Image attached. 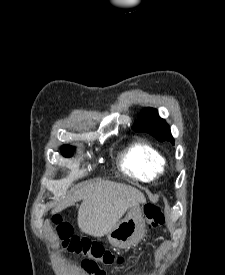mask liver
I'll return each mask as SVG.
<instances>
[{"label": "liver", "instance_id": "liver-1", "mask_svg": "<svg viewBox=\"0 0 225 275\" xmlns=\"http://www.w3.org/2000/svg\"><path fill=\"white\" fill-rule=\"evenodd\" d=\"M82 200L78 225L82 232L102 237L108 234L132 206L144 204L146 198L138 189L113 181H97L76 190L62 200L52 213H58Z\"/></svg>", "mask_w": 225, "mask_h": 275}]
</instances>
